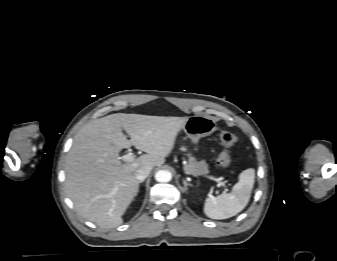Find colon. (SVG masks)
<instances>
[{
    "label": "colon",
    "mask_w": 337,
    "mask_h": 261,
    "mask_svg": "<svg viewBox=\"0 0 337 261\" xmlns=\"http://www.w3.org/2000/svg\"><path fill=\"white\" fill-rule=\"evenodd\" d=\"M219 141L222 145V151L217 157V165L221 169H227L231 164V148L235 145L236 136L226 130L219 133Z\"/></svg>",
    "instance_id": "obj_1"
}]
</instances>
